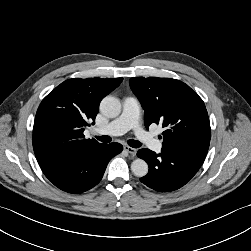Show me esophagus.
Instances as JSON below:
<instances>
[{
  "mask_svg": "<svg viewBox=\"0 0 251 251\" xmlns=\"http://www.w3.org/2000/svg\"><path fill=\"white\" fill-rule=\"evenodd\" d=\"M124 150L126 151V152H128L130 155H132V156H135L136 155V152H137V150L135 149V148H132V147H130V146H128V145H125L124 146Z\"/></svg>",
  "mask_w": 251,
  "mask_h": 251,
  "instance_id": "34e87169",
  "label": "esophagus"
}]
</instances>
